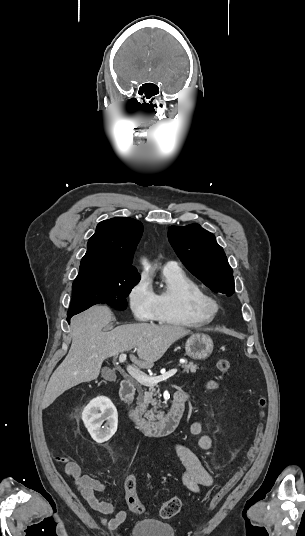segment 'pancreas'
<instances>
[{
    "label": "pancreas",
    "mask_w": 305,
    "mask_h": 536,
    "mask_svg": "<svg viewBox=\"0 0 305 536\" xmlns=\"http://www.w3.org/2000/svg\"><path fill=\"white\" fill-rule=\"evenodd\" d=\"M179 366H182L184 368L183 372H192V374H195L197 370V364H194V362H185V364H179ZM137 392L139 394L137 398V408L138 412H141V414H144V418L146 420H149L150 424H155L156 418H159V416H163L164 412H158L157 408H160V396H159V390H156L155 384H149V386H146V388H142V384H138L137 386ZM149 406H152L151 410H147Z\"/></svg>",
    "instance_id": "pancreas-1"
}]
</instances>
